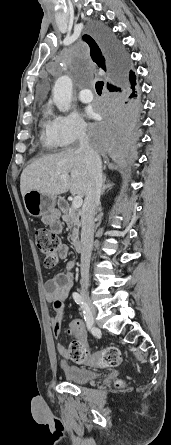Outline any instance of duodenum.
<instances>
[{"label":"duodenum","instance_id":"410a0bca","mask_svg":"<svg viewBox=\"0 0 171 445\" xmlns=\"http://www.w3.org/2000/svg\"><path fill=\"white\" fill-rule=\"evenodd\" d=\"M62 206H65V204H62ZM72 244L77 252L83 251V242L79 236L73 237Z\"/></svg>","mask_w":171,"mask_h":445}]
</instances>
